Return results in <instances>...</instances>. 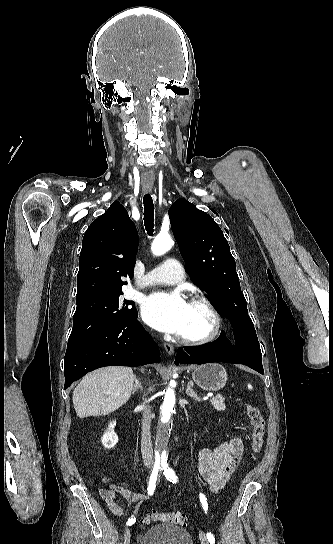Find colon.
Instances as JSON below:
<instances>
[{
	"mask_svg": "<svg viewBox=\"0 0 333 544\" xmlns=\"http://www.w3.org/2000/svg\"><path fill=\"white\" fill-rule=\"evenodd\" d=\"M246 415L252 428L250 449L252 455L255 457L261 452L263 447L265 420L259 408L253 405H248L246 407ZM144 521L146 523L167 522L183 526L186 524V516L180 511H153L145 517Z\"/></svg>",
	"mask_w": 333,
	"mask_h": 544,
	"instance_id": "colon-1",
	"label": "colon"
}]
</instances>
